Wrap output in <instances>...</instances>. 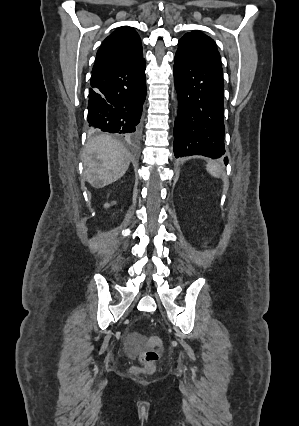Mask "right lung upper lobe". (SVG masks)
I'll use <instances>...</instances> for the list:
<instances>
[{
	"label": "right lung upper lobe",
	"mask_w": 299,
	"mask_h": 426,
	"mask_svg": "<svg viewBox=\"0 0 299 426\" xmlns=\"http://www.w3.org/2000/svg\"><path fill=\"white\" fill-rule=\"evenodd\" d=\"M143 59L142 44L137 32L123 26L111 33L99 48L92 73L116 66L129 65Z\"/></svg>",
	"instance_id": "cb5924a9"
}]
</instances>
